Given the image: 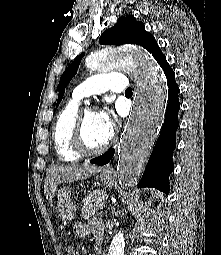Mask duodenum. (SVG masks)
I'll list each match as a JSON object with an SVG mask.
<instances>
[{
  "label": "duodenum",
  "instance_id": "1",
  "mask_svg": "<svg viewBox=\"0 0 221 255\" xmlns=\"http://www.w3.org/2000/svg\"><path fill=\"white\" fill-rule=\"evenodd\" d=\"M103 248L102 238H96L94 243V253L95 255H101Z\"/></svg>",
  "mask_w": 221,
  "mask_h": 255
}]
</instances>
